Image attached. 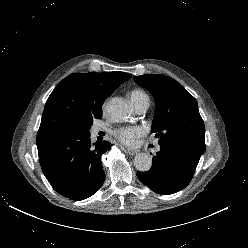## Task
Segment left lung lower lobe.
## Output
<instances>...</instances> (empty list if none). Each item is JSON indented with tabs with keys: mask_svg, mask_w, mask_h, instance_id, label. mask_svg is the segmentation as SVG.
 <instances>
[{
	"mask_svg": "<svg viewBox=\"0 0 248 248\" xmlns=\"http://www.w3.org/2000/svg\"><path fill=\"white\" fill-rule=\"evenodd\" d=\"M196 163L177 150L160 147L153 165L146 172H137L139 180L158 194L169 195L184 189L191 181Z\"/></svg>",
	"mask_w": 248,
	"mask_h": 248,
	"instance_id": "1",
	"label": "left lung lower lobe"
}]
</instances>
